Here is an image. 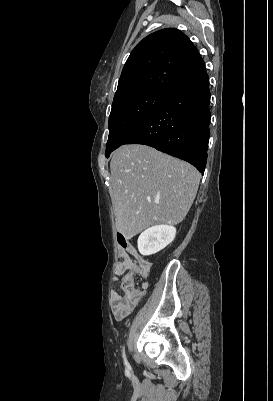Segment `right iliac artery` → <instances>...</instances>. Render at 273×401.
Wrapping results in <instances>:
<instances>
[{"label": "right iliac artery", "mask_w": 273, "mask_h": 401, "mask_svg": "<svg viewBox=\"0 0 273 401\" xmlns=\"http://www.w3.org/2000/svg\"><path fill=\"white\" fill-rule=\"evenodd\" d=\"M123 358H124V363H125V365H126V367H127L126 371L128 372L129 369H130L131 367H130V365H129L127 359H126L125 349H123Z\"/></svg>", "instance_id": "right-iliac-artery-1"}]
</instances>
